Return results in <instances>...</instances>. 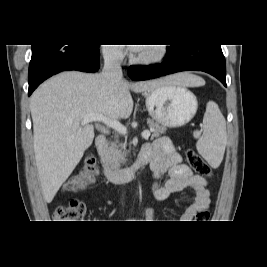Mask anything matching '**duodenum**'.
<instances>
[{"mask_svg":"<svg viewBox=\"0 0 267 267\" xmlns=\"http://www.w3.org/2000/svg\"><path fill=\"white\" fill-rule=\"evenodd\" d=\"M95 145L103 176L110 182L120 183L133 179L135 172L149 162L148 157L139 156L131 166L123 169H115L111 167L107 161L106 136L103 134L97 136Z\"/></svg>","mask_w":267,"mask_h":267,"instance_id":"obj_1","label":"duodenum"}]
</instances>
